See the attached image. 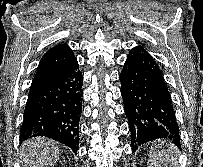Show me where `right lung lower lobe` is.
Returning <instances> with one entry per match:
<instances>
[{"instance_id": "right-lung-lower-lobe-1", "label": "right lung lower lobe", "mask_w": 203, "mask_h": 167, "mask_svg": "<svg viewBox=\"0 0 203 167\" xmlns=\"http://www.w3.org/2000/svg\"><path fill=\"white\" fill-rule=\"evenodd\" d=\"M83 77L75 58L61 73L31 88L20 129V143L45 136L70 147L79 146Z\"/></svg>"}]
</instances>
